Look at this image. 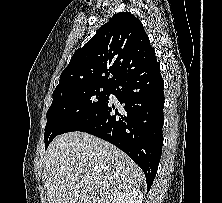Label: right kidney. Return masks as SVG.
I'll return each mask as SVG.
<instances>
[{
    "label": "right kidney",
    "instance_id": "1",
    "mask_svg": "<svg viewBox=\"0 0 222 203\" xmlns=\"http://www.w3.org/2000/svg\"><path fill=\"white\" fill-rule=\"evenodd\" d=\"M142 198V192L134 188L118 196L112 203H142Z\"/></svg>",
    "mask_w": 222,
    "mask_h": 203
}]
</instances>
